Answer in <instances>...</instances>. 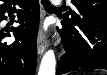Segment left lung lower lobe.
I'll return each mask as SVG.
<instances>
[{
	"mask_svg": "<svg viewBox=\"0 0 107 75\" xmlns=\"http://www.w3.org/2000/svg\"><path fill=\"white\" fill-rule=\"evenodd\" d=\"M71 3L77 7L80 1L72 0ZM80 27L83 38H80L63 21L61 26L57 27L66 54L58 62L56 75L78 68L107 69V15L83 16Z\"/></svg>",
	"mask_w": 107,
	"mask_h": 75,
	"instance_id": "obj_1",
	"label": "left lung lower lobe"
}]
</instances>
